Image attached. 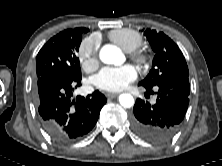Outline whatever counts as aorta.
<instances>
[{
    "label": "aorta",
    "mask_w": 222,
    "mask_h": 166,
    "mask_svg": "<svg viewBox=\"0 0 222 166\" xmlns=\"http://www.w3.org/2000/svg\"><path fill=\"white\" fill-rule=\"evenodd\" d=\"M101 61L105 64L121 65L124 62V55L121 50L114 45H105L99 53ZM120 105L124 108H130L134 105V98L129 93L119 96Z\"/></svg>",
    "instance_id": "obj_1"
}]
</instances>
